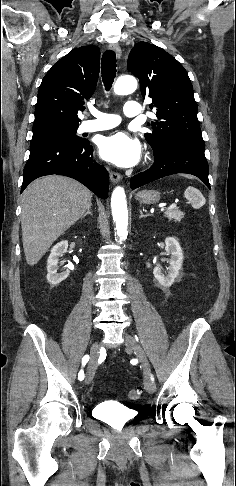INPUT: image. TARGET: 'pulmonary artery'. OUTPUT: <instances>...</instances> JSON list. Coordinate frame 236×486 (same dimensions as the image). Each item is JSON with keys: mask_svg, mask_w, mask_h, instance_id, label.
Returning a JSON list of instances; mask_svg holds the SVG:
<instances>
[{"mask_svg": "<svg viewBox=\"0 0 236 486\" xmlns=\"http://www.w3.org/2000/svg\"><path fill=\"white\" fill-rule=\"evenodd\" d=\"M90 113L94 119L84 120L79 126V132L89 133L107 130L116 127L121 122L118 115L103 113L97 109L91 108ZM141 113V107L136 101H127L124 105V114L127 117H135Z\"/></svg>", "mask_w": 236, "mask_h": 486, "instance_id": "pulmonary-artery-1", "label": "pulmonary artery"}]
</instances>
